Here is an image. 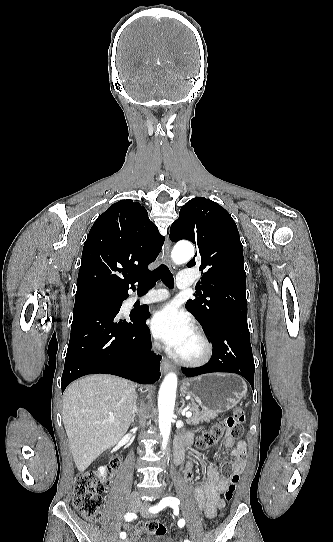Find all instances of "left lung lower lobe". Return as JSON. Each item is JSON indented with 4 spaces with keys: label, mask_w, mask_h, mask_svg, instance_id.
Returning a JSON list of instances; mask_svg holds the SVG:
<instances>
[{
    "label": "left lung lower lobe",
    "mask_w": 333,
    "mask_h": 542,
    "mask_svg": "<svg viewBox=\"0 0 333 542\" xmlns=\"http://www.w3.org/2000/svg\"><path fill=\"white\" fill-rule=\"evenodd\" d=\"M209 336L213 345L210 361L198 368H182L185 376L212 372L236 373L247 379L254 389L255 365L247 319L225 318Z\"/></svg>",
    "instance_id": "left-lung-lower-lobe-1"
}]
</instances>
